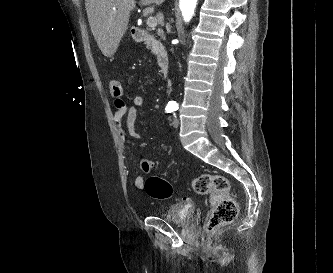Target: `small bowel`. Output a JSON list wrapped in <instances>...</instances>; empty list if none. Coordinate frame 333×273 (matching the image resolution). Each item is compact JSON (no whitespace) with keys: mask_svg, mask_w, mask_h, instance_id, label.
I'll return each mask as SVG.
<instances>
[{"mask_svg":"<svg viewBox=\"0 0 333 273\" xmlns=\"http://www.w3.org/2000/svg\"><path fill=\"white\" fill-rule=\"evenodd\" d=\"M113 102L116 103L117 107L113 115V123L119 135L122 146L126 150L128 136L133 139L141 138V134L136 130L135 125L139 109L144 105L145 99L142 95H136L129 107H125V102L122 101L121 96H114ZM124 122L126 130H124ZM144 183L145 180L142 175L137 174L134 177L133 184L137 189L144 188Z\"/></svg>","mask_w":333,"mask_h":273,"instance_id":"small-bowel-1","label":"small bowel"}]
</instances>
